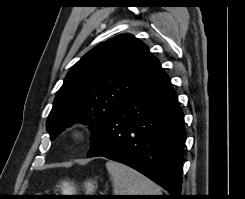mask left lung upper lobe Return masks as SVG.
Segmentation results:
<instances>
[{"label": "left lung upper lobe", "mask_w": 245, "mask_h": 199, "mask_svg": "<svg viewBox=\"0 0 245 199\" xmlns=\"http://www.w3.org/2000/svg\"><path fill=\"white\" fill-rule=\"evenodd\" d=\"M159 68L148 47L129 34L100 43L71 67L58 90L46 123L50 139L67 125L82 122L89 124L95 145L109 116Z\"/></svg>", "instance_id": "1"}]
</instances>
